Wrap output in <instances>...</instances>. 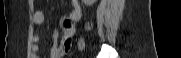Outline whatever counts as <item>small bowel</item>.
Returning <instances> with one entry per match:
<instances>
[{
    "mask_svg": "<svg viewBox=\"0 0 181 58\" xmlns=\"http://www.w3.org/2000/svg\"><path fill=\"white\" fill-rule=\"evenodd\" d=\"M81 15L82 10L79 3L76 0H72L69 12L60 21L61 39L58 38V33L54 34V45L51 49L50 58H62L70 50L76 31V23L80 20ZM33 20L36 24H42L45 20L44 12L36 11ZM38 42L39 36L34 35L32 45L33 58H38Z\"/></svg>",
    "mask_w": 181,
    "mask_h": 58,
    "instance_id": "obj_1",
    "label": "small bowel"
}]
</instances>
